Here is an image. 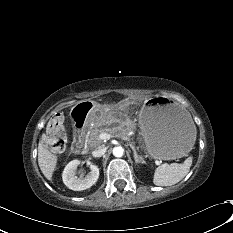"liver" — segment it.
<instances>
[{"label": "liver", "instance_id": "1", "mask_svg": "<svg viewBox=\"0 0 233 233\" xmlns=\"http://www.w3.org/2000/svg\"><path fill=\"white\" fill-rule=\"evenodd\" d=\"M38 164L44 176L51 180L57 164V156L44 147L43 138H41L38 146Z\"/></svg>", "mask_w": 233, "mask_h": 233}]
</instances>
